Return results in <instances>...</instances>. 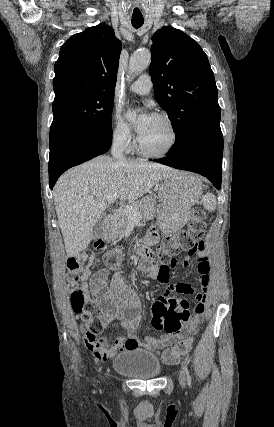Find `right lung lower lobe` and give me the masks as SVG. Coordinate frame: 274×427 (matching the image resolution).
Returning <instances> with one entry per match:
<instances>
[{
    "label": "right lung lower lobe",
    "instance_id": "obj_1",
    "mask_svg": "<svg viewBox=\"0 0 274 427\" xmlns=\"http://www.w3.org/2000/svg\"><path fill=\"white\" fill-rule=\"evenodd\" d=\"M111 142L112 131H106L71 135L55 144L49 156L50 189L64 171L106 153Z\"/></svg>",
    "mask_w": 274,
    "mask_h": 427
}]
</instances>
